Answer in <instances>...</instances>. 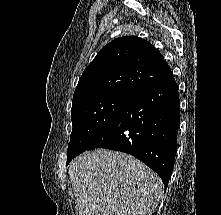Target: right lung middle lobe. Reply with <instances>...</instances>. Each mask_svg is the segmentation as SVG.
Returning <instances> with one entry per match:
<instances>
[{
	"label": "right lung middle lobe",
	"instance_id": "1",
	"mask_svg": "<svg viewBox=\"0 0 221 215\" xmlns=\"http://www.w3.org/2000/svg\"><path fill=\"white\" fill-rule=\"evenodd\" d=\"M132 97L109 95L72 105V133L68 146V162L106 132Z\"/></svg>",
	"mask_w": 221,
	"mask_h": 215
}]
</instances>
